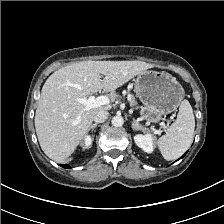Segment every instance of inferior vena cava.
<instances>
[{"label":"inferior vena cava","mask_w":224,"mask_h":224,"mask_svg":"<svg viewBox=\"0 0 224 224\" xmlns=\"http://www.w3.org/2000/svg\"><path fill=\"white\" fill-rule=\"evenodd\" d=\"M109 113L105 110L98 111L94 116V121L96 123H102L108 118Z\"/></svg>","instance_id":"inferior-vena-cava-1"}]
</instances>
